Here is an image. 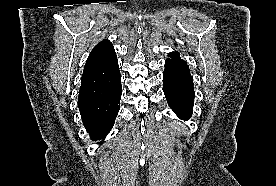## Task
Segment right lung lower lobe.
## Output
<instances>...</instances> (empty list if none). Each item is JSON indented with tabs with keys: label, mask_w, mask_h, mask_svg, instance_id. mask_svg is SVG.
Returning a JSON list of instances; mask_svg holds the SVG:
<instances>
[{
	"label": "right lung lower lobe",
	"mask_w": 276,
	"mask_h": 186,
	"mask_svg": "<svg viewBox=\"0 0 276 186\" xmlns=\"http://www.w3.org/2000/svg\"><path fill=\"white\" fill-rule=\"evenodd\" d=\"M121 95L120 74L108 82L81 86L78 107L91 139H101L110 132L119 111Z\"/></svg>",
	"instance_id": "obj_1"
}]
</instances>
